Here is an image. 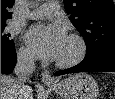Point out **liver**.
<instances>
[{
    "label": "liver",
    "instance_id": "6515ba94",
    "mask_svg": "<svg viewBox=\"0 0 115 99\" xmlns=\"http://www.w3.org/2000/svg\"><path fill=\"white\" fill-rule=\"evenodd\" d=\"M15 79L11 76L1 74V99H15ZM29 91L24 99H33L32 89L28 86Z\"/></svg>",
    "mask_w": 115,
    "mask_h": 99
}]
</instances>
